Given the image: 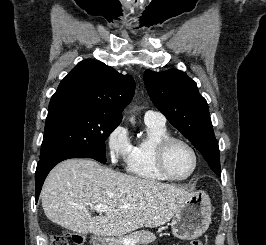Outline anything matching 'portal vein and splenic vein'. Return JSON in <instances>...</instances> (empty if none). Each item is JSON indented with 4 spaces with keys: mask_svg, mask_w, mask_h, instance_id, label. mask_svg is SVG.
<instances>
[{
    "mask_svg": "<svg viewBox=\"0 0 266 245\" xmlns=\"http://www.w3.org/2000/svg\"><path fill=\"white\" fill-rule=\"evenodd\" d=\"M80 209H84V207H81ZM91 209H94L96 213H106L108 211L107 205H95V207H91ZM123 209H132L131 205H126V207H123ZM139 241V239H137ZM121 245H134L135 239H130V237H125V239H120Z\"/></svg>",
    "mask_w": 266,
    "mask_h": 245,
    "instance_id": "18ae733b",
    "label": "portal vein and splenic vein"
}]
</instances>
